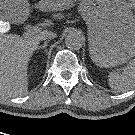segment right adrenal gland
Returning a JSON list of instances; mask_svg holds the SVG:
<instances>
[{
    "instance_id": "1",
    "label": "right adrenal gland",
    "mask_w": 135,
    "mask_h": 135,
    "mask_svg": "<svg viewBox=\"0 0 135 135\" xmlns=\"http://www.w3.org/2000/svg\"><path fill=\"white\" fill-rule=\"evenodd\" d=\"M50 42V40H46L43 45L39 46L38 49H44V51L47 53V44Z\"/></svg>"
}]
</instances>
